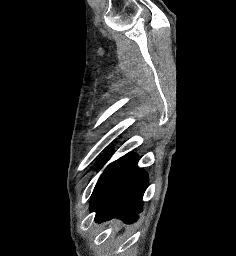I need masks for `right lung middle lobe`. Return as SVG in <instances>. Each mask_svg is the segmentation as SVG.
I'll use <instances>...</instances> for the list:
<instances>
[{
  "mask_svg": "<svg viewBox=\"0 0 236 256\" xmlns=\"http://www.w3.org/2000/svg\"><path fill=\"white\" fill-rule=\"evenodd\" d=\"M108 158H109V152L101 158L99 165H101V164H102L104 161H106Z\"/></svg>",
  "mask_w": 236,
  "mask_h": 256,
  "instance_id": "dd1d6c3e",
  "label": "right lung middle lobe"
}]
</instances>
